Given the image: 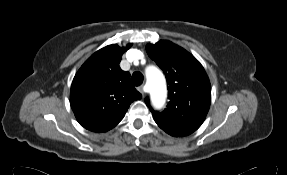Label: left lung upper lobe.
Here are the masks:
<instances>
[{
	"instance_id": "5c2ea615",
	"label": "left lung upper lobe",
	"mask_w": 287,
	"mask_h": 175,
	"mask_svg": "<svg viewBox=\"0 0 287 175\" xmlns=\"http://www.w3.org/2000/svg\"><path fill=\"white\" fill-rule=\"evenodd\" d=\"M149 57L163 70L169 102L162 112L149 106L157 125L172 136L183 137L204 122L211 103V85L200 62L188 51L166 40L148 44Z\"/></svg>"
}]
</instances>
